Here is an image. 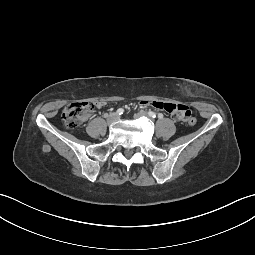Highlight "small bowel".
<instances>
[{
  "label": "small bowel",
  "instance_id": "small-bowel-1",
  "mask_svg": "<svg viewBox=\"0 0 255 255\" xmlns=\"http://www.w3.org/2000/svg\"><path fill=\"white\" fill-rule=\"evenodd\" d=\"M143 106H151L157 110H163L171 114V117L175 121L186 120L191 115V110L184 104H173L160 101H142ZM103 102H98L97 107H102Z\"/></svg>",
  "mask_w": 255,
  "mask_h": 255
}]
</instances>
